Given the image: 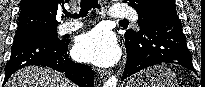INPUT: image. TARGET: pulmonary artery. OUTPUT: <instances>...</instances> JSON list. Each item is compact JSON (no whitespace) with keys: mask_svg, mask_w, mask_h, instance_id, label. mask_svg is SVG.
<instances>
[{"mask_svg":"<svg viewBox=\"0 0 205 87\" xmlns=\"http://www.w3.org/2000/svg\"><path fill=\"white\" fill-rule=\"evenodd\" d=\"M110 17L117 19L130 18L134 22L138 21L137 13L134 10L121 4H115L112 6L110 10ZM81 26L82 23L80 22H65L60 25L59 32L63 34L73 32L79 29Z\"/></svg>","mask_w":205,"mask_h":87,"instance_id":"e3ab8cb5","label":"pulmonary artery"}]
</instances>
